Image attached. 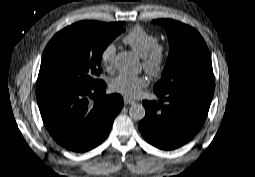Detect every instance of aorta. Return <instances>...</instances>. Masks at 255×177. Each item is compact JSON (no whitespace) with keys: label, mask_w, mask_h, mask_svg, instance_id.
<instances>
[{"label":"aorta","mask_w":255,"mask_h":177,"mask_svg":"<svg viewBox=\"0 0 255 177\" xmlns=\"http://www.w3.org/2000/svg\"><path fill=\"white\" fill-rule=\"evenodd\" d=\"M115 67L119 72L126 74H138L139 64L131 52L122 51L115 58ZM146 111L142 104L135 103L129 109V115L134 121H141Z\"/></svg>","instance_id":"1"}]
</instances>
